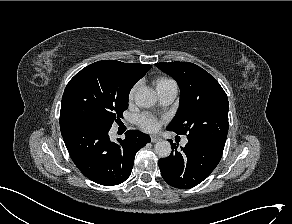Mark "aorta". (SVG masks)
I'll return each instance as SVG.
<instances>
[{
  "mask_svg": "<svg viewBox=\"0 0 292 224\" xmlns=\"http://www.w3.org/2000/svg\"><path fill=\"white\" fill-rule=\"evenodd\" d=\"M135 102L139 107L149 108L157 102V95L153 90L143 87L136 92ZM154 151L159 157L165 158L171 154L172 149L168 141L161 140L155 144Z\"/></svg>",
  "mask_w": 292,
  "mask_h": 224,
  "instance_id": "1",
  "label": "aorta"
}]
</instances>
